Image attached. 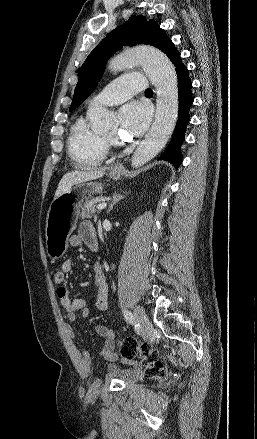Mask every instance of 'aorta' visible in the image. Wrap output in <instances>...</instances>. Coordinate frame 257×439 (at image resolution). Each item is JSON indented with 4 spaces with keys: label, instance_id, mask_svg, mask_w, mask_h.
Wrapping results in <instances>:
<instances>
[{
    "label": "aorta",
    "instance_id": "1",
    "mask_svg": "<svg viewBox=\"0 0 257 439\" xmlns=\"http://www.w3.org/2000/svg\"><path fill=\"white\" fill-rule=\"evenodd\" d=\"M136 64L156 88V113L152 127L132 156V166L139 167L153 159L171 137L178 117V81L175 67L169 58L153 47L124 51L109 63L112 71H122ZM91 128L98 133L109 132L115 124L114 115L102 107L87 112Z\"/></svg>",
    "mask_w": 257,
    "mask_h": 439
}]
</instances>
